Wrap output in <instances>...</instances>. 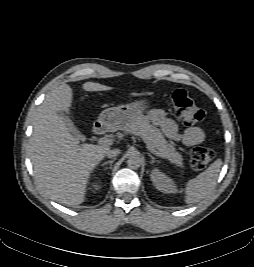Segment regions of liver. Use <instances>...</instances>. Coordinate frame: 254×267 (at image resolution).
I'll return each instance as SVG.
<instances>
[{
	"label": "liver",
	"mask_w": 254,
	"mask_h": 267,
	"mask_svg": "<svg viewBox=\"0 0 254 267\" xmlns=\"http://www.w3.org/2000/svg\"><path fill=\"white\" fill-rule=\"evenodd\" d=\"M82 88L87 92L112 89L94 82H86ZM72 99L66 83L46 95L33 119L28 150L38 185L66 206L84 202L91 172L110 150L108 146L80 144L69 132L58 113L69 112Z\"/></svg>",
	"instance_id": "1"
}]
</instances>
